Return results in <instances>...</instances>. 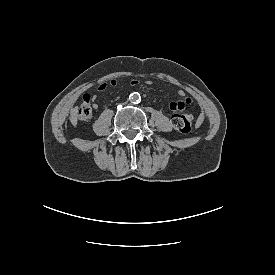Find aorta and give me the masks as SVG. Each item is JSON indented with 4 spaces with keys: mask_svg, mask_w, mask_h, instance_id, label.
I'll return each instance as SVG.
<instances>
[{
    "mask_svg": "<svg viewBox=\"0 0 275 275\" xmlns=\"http://www.w3.org/2000/svg\"><path fill=\"white\" fill-rule=\"evenodd\" d=\"M129 99L132 101V103L138 104L141 101V96L138 92H133L130 94Z\"/></svg>",
    "mask_w": 275,
    "mask_h": 275,
    "instance_id": "1",
    "label": "aorta"
}]
</instances>
